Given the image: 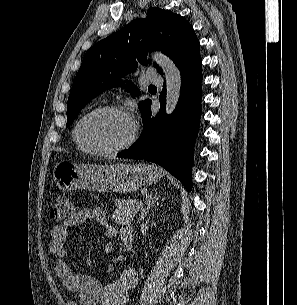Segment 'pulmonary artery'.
Instances as JSON below:
<instances>
[{
	"instance_id": "e3ab8cb5",
	"label": "pulmonary artery",
	"mask_w": 297,
	"mask_h": 305,
	"mask_svg": "<svg viewBox=\"0 0 297 305\" xmlns=\"http://www.w3.org/2000/svg\"><path fill=\"white\" fill-rule=\"evenodd\" d=\"M146 81L153 84H160L162 79L154 69H150L146 72Z\"/></svg>"
}]
</instances>
